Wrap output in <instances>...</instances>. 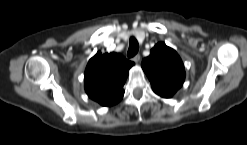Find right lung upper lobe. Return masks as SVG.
Returning <instances> with one entry per match:
<instances>
[{
  "label": "right lung upper lobe",
  "instance_id": "right-lung-upper-lobe-1",
  "mask_svg": "<svg viewBox=\"0 0 247 145\" xmlns=\"http://www.w3.org/2000/svg\"><path fill=\"white\" fill-rule=\"evenodd\" d=\"M133 65L121 54L97 52L85 70L86 93L102 106L115 105L124 95L123 85Z\"/></svg>",
  "mask_w": 247,
  "mask_h": 145
}]
</instances>
